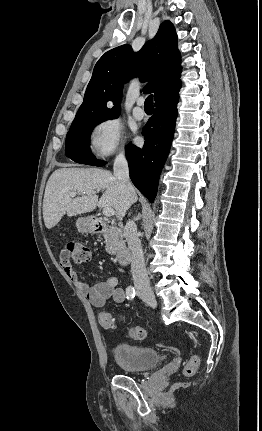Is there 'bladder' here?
Instances as JSON below:
<instances>
[{"mask_svg":"<svg viewBox=\"0 0 262 431\" xmlns=\"http://www.w3.org/2000/svg\"><path fill=\"white\" fill-rule=\"evenodd\" d=\"M160 350L146 345L118 344L115 359L124 371L143 372L158 366L162 361Z\"/></svg>","mask_w":262,"mask_h":431,"instance_id":"31cf9c89","label":"bladder"}]
</instances>
